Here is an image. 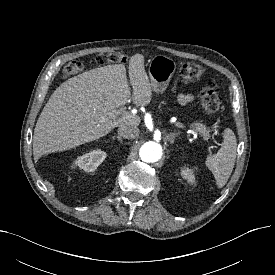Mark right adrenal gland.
Segmentation results:
<instances>
[{
    "mask_svg": "<svg viewBox=\"0 0 275 275\" xmlns=\"http://www.w3.org/2000/svg\"><path fill=\"white\" fill-rule=\"evenodd\" d=\"M115 139H117L121 143L123 142L122 138L119 135L113 136V140H115Z\"/></svg>",
    "mask_w": 275,
    "mask_h": 275,
    "instance_id": "2a0ac1e0",
    "label": "right adrenal gland"
}]
</instances>
